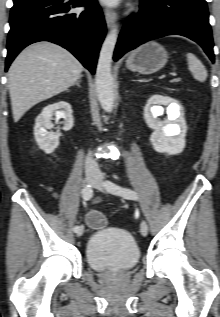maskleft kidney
<instances>
[{
  "label": "left kidney",
  "instance_id": "1",
  "mask_svg": "<svg viewBox=\"0 0 220 317\" xmlns=\"http://www.w3.org/2000/svg\"><path fill=\"white\" fill-rule=\"evenodd\" d=\"M161 105L167 106L168 118L163 121L158 119L164 112ZM144 119L154 130L150 141L157 152L175 155L183 151L187 127L181 108L174 99L159 94L151 96L144 107Z\"/></svg>",
  "mask_w": 220,
  "mask_h": 317
}]
</instances>
